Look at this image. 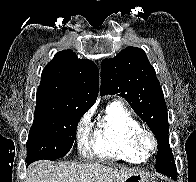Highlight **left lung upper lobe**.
Segmentation results:
<instances>
[{
    "mask_svg": "<svg viewBox=\"0 0 196 182\" xmlns=\"http://www.w3.org/2000/svg\"><path fill=\"white\" fill-rule=\"evenodd\" d=\"M101 73L100 94H117L128 101L157 138L156 170L173 179L177 178L173 159L169 163L158 160L160 152L172 155L168 115L162 88L145 52L136 47H127L114 58L103 60Z\"/></svg>",
    "mask_w": 196,
    "mask_h": 182,
    "instance_id": "1",
    "label": "left lung upper lobe"
}]
</instances>
